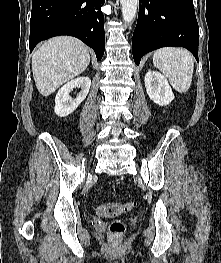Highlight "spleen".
Segmentation results:
<instances>
[{"mask_svg":"<svg viewBox=\"0 0 221 263\" xmlns=\"http://www.w3.org/2000/svg\"><path fill=\"white\" fill-rule=\"evenodd\" d=\"M153 64L176 91L185 93L189 90L194 71V58L189 51L176 47L158 49L153 54Z\"/></svg>","mask_w":221,"mask_h":263,"instance_id":"obj_1","label":"spleen"}]
</instances>
